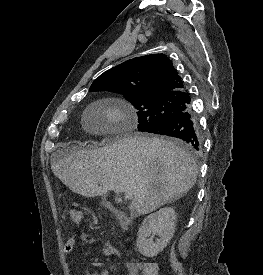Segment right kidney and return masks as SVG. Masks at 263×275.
Instances as JSON below:
<instances>
[{
    "label": "right kidney",
    "instance_id": "ca27d5eb",
    "mask_svg": "<svg viewBox=\"0 0 263 275\" xmlns=\"http://www.w3.org/2000/svg\"><path fill=\"white\" fill-rule=\"evenodd\" d=\"M175 211L165 207L148 215L138 231L137 248L146 257H154L167 246L175 232ZM159 238L154 242L153 238Z\"/></svg>",
    "mask_w": 263,
    "mask_h": 275
}]
</instances>
